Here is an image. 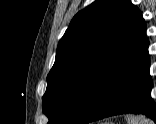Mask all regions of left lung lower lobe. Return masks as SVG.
I'll list each match as a JSON object with an SVG mask.
<instances>
[{
  "instance_id": "0a47b994",
  "label": "left lung lower lobe",
  "mask_w": 156,
  "mask_h": 124,
  "mask_svg": "<svg viewBox=\"0 0 156 124\" xmlns=\"http://www.w3.org/2000/svg\"><path fill=\"white\" fill-rule=\"evenodd\" d=\"M148 46L145 34L105 78L78 124L124 113L145 114L156 122Z\"/></svg>"
}]
</instances>
